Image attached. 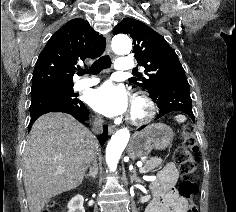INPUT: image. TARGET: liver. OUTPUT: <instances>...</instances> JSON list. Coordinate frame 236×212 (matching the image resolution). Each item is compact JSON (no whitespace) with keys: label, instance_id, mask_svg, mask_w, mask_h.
Listing matches in <instances>:
<instances>
[{"label":"liver","instance_id":"obj_1","mask_svg":"<svg viewBox=\"0 0 236 212\" xmlns=\"http://www.w3.org/2000/svg\"><path fill=\"white\" fill-rule=\"evenodd\" d=\"M98 150L94 135L73 116L47 113L37 119L23 156L29 211L41 212L50 198L78 187Z\"/></svg>","mask_w":236,"mask_h":212}]
</instances>
